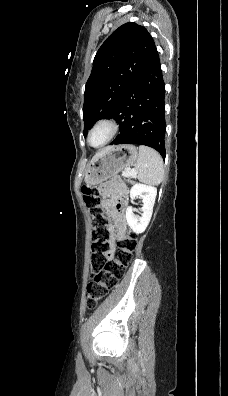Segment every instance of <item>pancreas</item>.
<instances>
[{
	"label": "pancreas",
	"mask_w": 228,
	"mask_h": 396,
	"mask_svg": "<svg viewBox=\"0 0 228 396\" xmlns=\"http://www.w3.org/2000/svg\"><path fill=\"white\" fill-rule=\"evenodd\" d=\"M122 175L125 176V175H124V172L122 173ZM125 177H126V176H125ZM126 181H127L128 183H132V180H130L129 178H128Z\"/></svg>",
	"instance_id": "obj_1"
}]
</instances>
